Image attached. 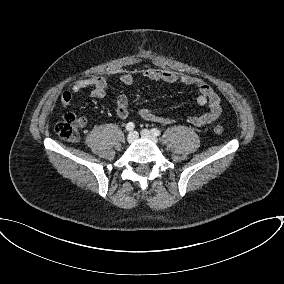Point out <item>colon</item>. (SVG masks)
<instances>
[{
  "mask_svg": "<svg viewBox=\"0 0 284 284\" xmlns=\"http://www.w3.org/2000/svg\"><path fill=\"white\" fill-rule=\"evenodd\" d=\"M217 134H222L224 129L220 124L214 126ZM55 132L62 139L69 142H76L79 139V130L77 120L72 114H65L63 118L56 124Z\"/></svg>",
  "mask_w": 284,
  "mask_h": 284,
  "instance_id": "1",
  "label": "colon"
}]
</instances>
